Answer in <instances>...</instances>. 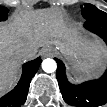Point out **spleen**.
<instances>
[{"label": "spleen", "instance_id": "obj_1", "mask_svg": "<svg viewBox=\"0 0 107 107\" xmlns=\"http://www.w3.org/2000/svg\"><path fill=\"white\" fill-rule=\"evenodd\" d=\"M103 63H104V58L103 59L99 58L95 63H86V62L80 63L72 67V73L77 79H80L81 73L90 74L92 69L101 67Z\"/></svg>", "mask_w": 107, "mask_h": 107}]
</instances>
